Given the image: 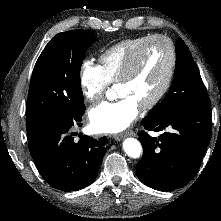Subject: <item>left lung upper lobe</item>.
<instances>
[{
  "mask_svg": "<svg viewBox=\"0 0 221 221\" xmlns=\"http://www.w3.org/2000/svg\"><path fill=\"white\" fill-rule=\"evenodd\" d=\"M208 100L206 88L189 48L182 39H178L172 85L163 101L154 106L148 116L160 119L169 115L178 103L200 104Z\"/></svg>",
  "mask_w": 221,
  "mask_h": 221,
  "instance_id": "left-lung-upper-lobe-1",
  "label": "left lung upper lobe"
}]
</instances>
